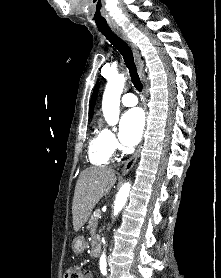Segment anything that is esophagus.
Instances as JSON below:
<instances>
[{"label": "esophagus", "instance_id": "obj_1", "mask_svg": "<svg viewBox=\"0 0 221 278\" xmlns=\"http://www.w3.org/2000/svg\"><path fill=\"white\" fill-rule=\"evenodd\" d=\"M114 32L132 48L133 55L135 58V63H136L137 69H138V73H139L140 77L142 78V80L144 81V63L141 60L137 47L135 46V44L132 43V41L129 39V37L126 35V33H124L122 30L114 29ZM144 93L145 94L147 93V86L145 84H144ZM141 147H142V145L140 144L138 146L137 150L135 151V153L124 164V166L121 170L122 174L128 173L130 171V169L134 166V164L136 163V161L139 157Z\"/></svg>", "mask_w": 221, "mask_h": 278}]
</instances>
